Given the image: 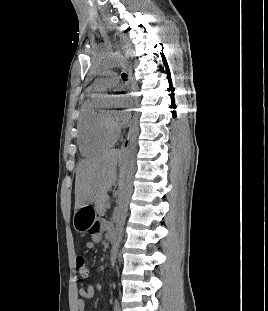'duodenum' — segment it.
<instances>
[{
    "instance_id": "duodenum-1",
    "label": "duodenum",
    "mask_w": 268,
    "mask_h": 311,
    "mask_svg": "<svg viewBox=\"0 0 268 311\" xmlns=\"http://www.w3.org/2000/svg\"><path fill=\"white\" fill-rule=\"evenodd\" d=\"M109 238H110L111 242H113L115 240V232L113 229L110 230Z\"/></svg>"
}]
</instances>
